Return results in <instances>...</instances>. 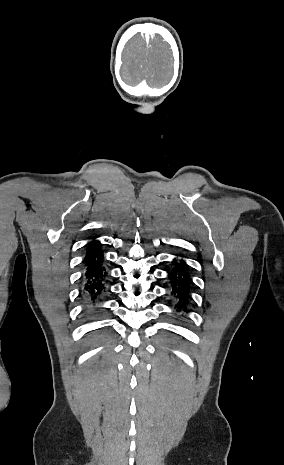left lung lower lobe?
I'll list each match as a JSON object with an SVG mask.
<instances>
[{"mask_svg": "<svg viewBox=\"0 0 284 465\" xmlns=\"http://www.w3.org/2000/svg\"><path fill=\"white\" fill-rule=\"evenodd\" d=\"M172 265L175 267L167 271L170 285L166 286L175 301L172 306L177 312H188L189 286L192 284L190 274L187 272L188 267L183 260L180 263L173 261Z\"/></svg>", "mask_w": 284, "mask_h": 465, "instance_id": "obj_1", "label": "left lung lower lobe"}]
</instances>
